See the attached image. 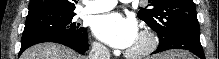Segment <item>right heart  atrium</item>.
I'll use <instances>...</instances> for the list:
<instances>
[{"label":"right heart atrium","mask_w":219,"mask_h":59,"mask_svg":"<svg viewBox=\"0 0 219 59\" xmlns=\"http://www.w3.org/2000/svg\"><path fill=\"white\" fill-rule=\"evenodd\" d=\"M94 49L98 54H102L104 52V46L99 43L94 44Z\"/></svg>","instance_id":"obj_1"}]
</instances>
